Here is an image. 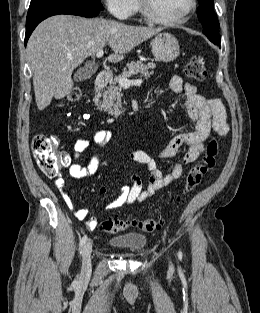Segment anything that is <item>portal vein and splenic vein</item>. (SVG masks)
I'll use <instances>...</instances> for the list:
<instances>
[{
  "instance_id": "1",
  "label": "portal vein and splenic vein",
  "mask_w": 260,
  "mask_h": 313,
  "mask_svg": "<svg viewBox=\"0 0 260 313\" xmlns=\"http://www.w3.org/2000/svg\"><path fill=\"white\" fill-rule=\"evenodd\" d=\"M104 54L103 50H99L97 53H96V57L97 58H100L102 57ZM143 82L142 79H137V80H128L127 78H121L119 80V85L123 88H128L130 87L131 85H140L141 83Z\"/></svg>"
}]
</instances>
